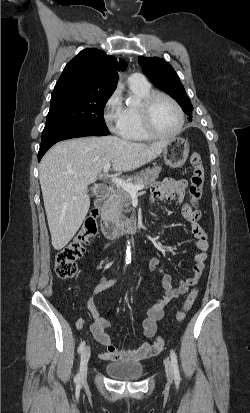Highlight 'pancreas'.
Returning a JSON list of instances; mask_svg holds the SVG:
<instances>
[{"label":"pancreas","instance_id":"1","mask_svg":"<svg viewBox=\"0 0 250 413\" xmlns=\"http://www.w3.org/2000/svg\"><path fill=\"white\" fill-rule=\"evenodd\" d=\"M161 170V166L146 168L145 170L131 176L128 181L135 185L142 184L145 188H148L155 183ZM130 206V194L121 186H117L108 203L110 219L117 223L122 222L126 219V215L131 212L132 208Z\"/></svg>","mask_w":250,"mask_h":413}]
</instances>
